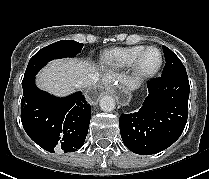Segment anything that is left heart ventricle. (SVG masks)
Returning <instances> with one entry per match:
<instances>
[{
    "mask_svg": "<svg viewBox=\"0 0 209 179\" xmlns=\"http://www.w3.org/2000/svg\"><path fill=\"white\" fill-rule=\"evenodd\" d=\"M159 59V52L155 49H151L142 57L140 68L143 71H150L158 65Z\"/></svg>",
    "mask_w": 209,
    "mask_h": 179,
    "instance_id": "obj_1",
    "label": "left heart ventricle"
}]
</instances>
